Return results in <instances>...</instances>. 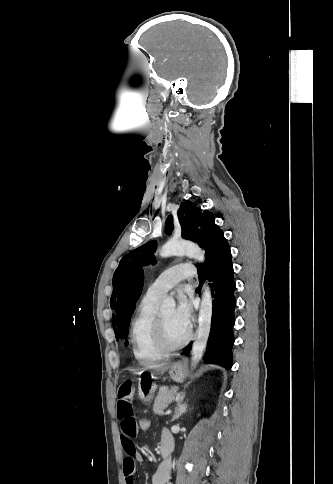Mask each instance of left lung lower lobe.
Listing matches in <instances>:
<instances>
[{
    "label": "left lung lower lobe",
    "mask_w": 333,
    "mask_h": 484,
    "mask_svg": "<svg viewBox=\"0 0 333 484\" xmlns=\"http://www.w3.org/2000/svg\"><path fill=\"white\" fill-rule=\"evenodd\" d=\"M202 248L206 251L203 264H198L199 289L204 280L212 281L213 311L211 331L204 361L216 363L227 369L232 366V346L234 343V308L236 301L233 279L231 251L222 230L215 220L208 223ZM191 344L182 353L187 355Z\"/></svg>",
    "instance_id": "obj_1"
}]
</instances>
